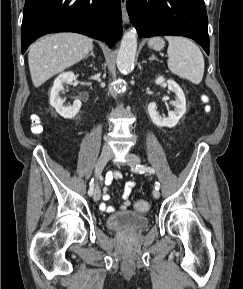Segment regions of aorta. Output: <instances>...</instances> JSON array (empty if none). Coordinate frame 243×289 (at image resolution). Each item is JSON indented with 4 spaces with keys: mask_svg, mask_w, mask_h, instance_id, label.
Segmentation results:
<instances>
[{
    "mask_svg": "<svg viewBox=\"0 0 243 289\" xmlns=\"http://www.w3.org/2000/svg\"><path fill=\"white\" fill-rule=\"evenodd\" d=\"M137 51V33L135 29L128 30L122 40L116 58L117 68L122 73H129L134 66Z\"/></svg>",
    "mask_w": 243,
    "mask_h": 289,
    "instance_id": "762f6f07",
    "label": "aorta"
}]
</instances>
